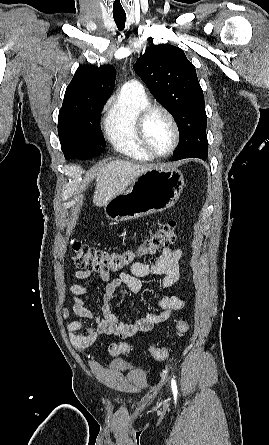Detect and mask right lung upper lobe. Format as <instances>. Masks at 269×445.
<instances>
[{
    "label": "right lung upper lobe",
    "instance_id": "1",
    "mask_svg": "<svg viewBox=\"0 0 269 445\" xmlns=\"http://www.w3.org/2000/svg\"><path fill=\"white\" fill-rule=\"evenodd\" d=\"M115 76V69L111 65L79 66L66 88L62 106L106 102L113 90Z\"/></svg>",
    "mask_w": 269,
    "mask_h": 445
}]
</instances>
